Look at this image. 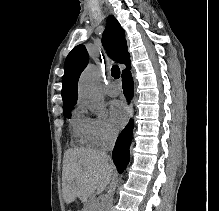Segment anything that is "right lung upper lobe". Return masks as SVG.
<instances>
[{
	"label": "right lung upper lobe",
	"instance_id": "obj_1",
	"mask_svg": "<svg viewBox=\"0 0 219 211\" xmlns=\"http://www.w3.org/2000/svg\"><path fill=\"white\" fill-rule=\"evenodd\" d=\"M102 44L112 59L125 65L130 64L125 32L117 19L112 15L107 18ZM88 59L89 56L84 45L74 47L68 54L64 64V75L62 77L63 105L76 103L78 98V80L81 72L88 64Z\"/></svg>",
	"mask_w": 219,
	"mask_h": 211
}]
</instances>
